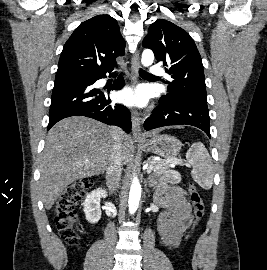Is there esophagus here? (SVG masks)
Wrapping results in <instances>:
<instances>
[{
    "label": "esophagus",
    "instance_id": "34e87169",
    "mask_svg": "<svg viewBox=\"0 0 267 270\" xmlns=\"http://www.w3.org/2000/svg\"><path fill=\"white\" fill-rule=\"evenodd\" d=\"M140 68V56H139V52H135L131 58V67H130V71H131V83L132 84H136L137 80H138V71ZM131 119H132V133L134 137H140L141 136V119L139 117V114L137 113V111L133 110L131 113Z\"/></svg>",
    "mask_w": 267,
    "mask_h": 270
}]
</instances>
